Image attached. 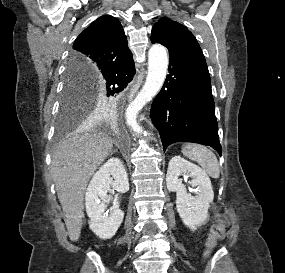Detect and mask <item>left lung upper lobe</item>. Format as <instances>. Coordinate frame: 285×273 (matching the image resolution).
I'll use <instances>...</instances> for the list:
<instances>
[{"label":"left lung upper lobe","instance_id":"left-lung-upper-lobe-1","mask_svg":"<svg viewBox=\"0 0 285 273\" xmlns=\"http://www.w3.org/2000/svg\"><path fill=\"white\" fill-rule=\"evenodd\" d=\"M151 41L162 43L169 50L176 51L207 68L203 52L194 35L187 27L170 18H162L155 23Z\"/></svg>","mask_w":285,"mask_h":273}]
</instances>
